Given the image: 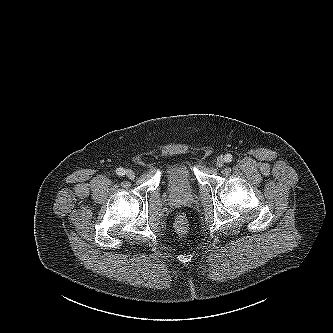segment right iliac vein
<instances>
[{
  "label": "right iliac vein",
  "instance_id": "obj_1",
  "mask_svg": "<svg viewBox=\"0 0 333 333\" xmlns=\"http://www.w3.org/2000/svg\"><path fill=\"white\" fill-rule=\"evenodd\" d=\"M125 173H126V176L129 179H134L135 178V173L132 170L128 169V170L125 171Z\"/></svg>",
  "mask_w": 333,
  "mask_h": 333
}]
</instances>
